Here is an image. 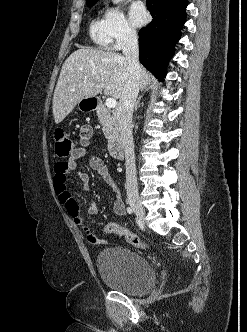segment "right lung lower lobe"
Listing matches in <instances>:
<instances>
[{"label": "right lung lower lobe", "instance_id": "1", "mask_svg": "<svg viewBox=\"0 0 247 332\" xmlns=\"http://www.w3.org/2000/svg\"><path fill=\"white\" fill-rule=\"evenodd\" d=\"M153 20L139 31L140 62L159 80L167 74L176 42L186 21L187 0H147Z\"/></svg>", "mask_w": 247, "mask_h": 332}]
</instances>
